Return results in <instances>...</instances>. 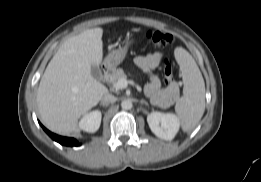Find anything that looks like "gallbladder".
<instances>
[{"label": "gallbladder", "mask_w": 261, "mask_h": 182, "mask_svg": "<svg viewBox=\"0 0 261 182\" xmlns=\"http://www.w3.org/2000/svg\"><path fill=\"white\" fill-rule=\"evenodd\" d=\"M91 75L96 79L100 80L102 77L101 70L98 66H92L91 67Z\"/></svg>", "instance_id": "obj_1"}]
</instances>
